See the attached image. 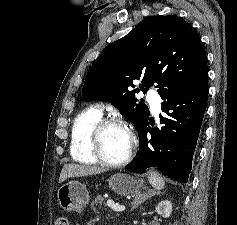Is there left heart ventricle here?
<instances>
[{
	"label": "left heart ventricle",
	"instance_id": "1",
	"mask_svg": "<svg viewBox=\"0 0 237 225\" xmlns=\"http://www.w3.org/2000/svg\"><path fill=\"white\" fill-rule=\"evenodd\" d=\"M130 144L129 134L121 127H107L102 134V150L105 157L110 161L118 162L124 159Z\"/></svg>",
	"mask_w": 237,
	"mask_h": 225
}]
</instances>
